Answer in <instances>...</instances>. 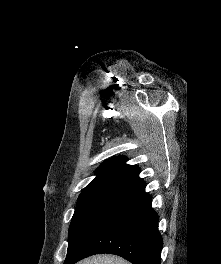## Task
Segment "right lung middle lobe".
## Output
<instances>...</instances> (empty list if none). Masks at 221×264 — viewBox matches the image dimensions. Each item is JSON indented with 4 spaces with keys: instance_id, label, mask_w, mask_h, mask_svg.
I'll use <instances>...</instances> for the list:
<instances>
[{
    "instance_id": "right-lung-middle-lobe-1",
    "label": "right lung middle lobe",
    "mask_w": 221,
    "mask_h": 264,
    "mask_svg": "<svg viewBox=\"0 0 221 264\" xmlns=\"http://www.w3.org/2000/svg\"><path fill=\"white\" fill-rule=\"evenodd\" d=\"M124 191L125 189L121 188H100L80 194L69 228L66 259L76 255L82 249Z\"/></svg>"
}]
</instances>
